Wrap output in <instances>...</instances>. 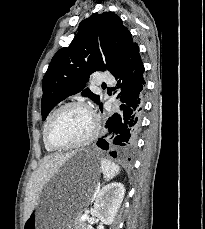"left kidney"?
Instances as JSON below:
<instances>
[{"mask_svg":"<svg viewBox=\"0 0 205 229\" xmlns=\"http://www.w3.org/2000/svg\"><path fill=\"white\" fill-rule=\"evenodd\" d=\"M125 195L123 184L113 182L104 186L97 194L94 203V215L104 224L110 225L121 206Z\"/></svg>","mask_w":205,"mask_h":229,"instance_id":"1","label":"left kidney"}]
</instances>
